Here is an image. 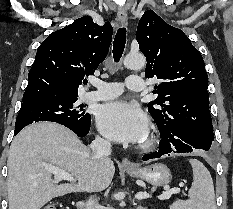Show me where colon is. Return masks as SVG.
I'll return each instance as SVG.
<instances>
[{"mask_svg":"<svg viewBox=\"0 0 233 209\" xmlns=\"http://www.w3.org/2000/svg\"><path fill=\"white\" fill-rule=\"evenodd\" d=\"M42 209H57V207L54 204H50V205L44 206Z\"/></svg>","mask_w":233,"mask_h":209,"instance_id":"1","label":"colon"}]
</instances>
